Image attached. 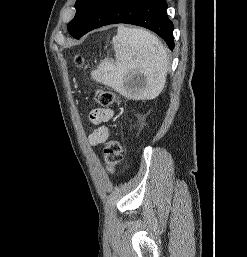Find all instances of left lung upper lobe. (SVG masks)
<instances>
[{"label": "left lung upper lobe", "instance_id": "5c2ea615", "mask_svg": "<svg viewBox=\"0 0 247 257\" xmlns=\"http://www.w3.org/2000/svg\"><path fill=\"white\" fill-rule=\"evenodd\" d=\"M97 0H77L75 3L76 15L73 20L68 24L67 28L69 33L75 35L83 25L87 16Z\"/></svg>", "mask_w": 247, "mask_h": 257}]
</instances>
